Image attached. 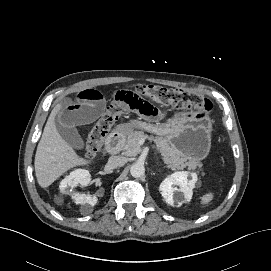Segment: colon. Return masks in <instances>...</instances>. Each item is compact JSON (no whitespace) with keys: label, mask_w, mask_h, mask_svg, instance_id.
Listing matches in <instances>:
<instances>
[{"label":"colon","mask_w":271,"mask_h":271,"mask_svg":"<svg viewBox=\"0 0 271 271\" xmlns=\"http://www.w3.org/2000/svg\"><path fill=\"white\" fill-rule=\"evenodd\" d=\"M137 91L144 97L160 104L175 107L191 106L205 113L212 111V104L208 99L187 90L160 86H142L137 88ZM124 113L125 107L120 103H112L106 109L88 134L86 143L87 156L94 157L99 153L108 131Z\"/></svg>","instance_id":"1"}]
</instances>
